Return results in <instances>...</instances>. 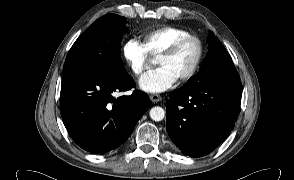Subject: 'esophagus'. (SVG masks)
Wrapping results in <instances>:
<instances>
[{"instance_id":"esophagus-1","label":"esophagus","mask_w":294,"mask_h":180,"mask_svg":"<svg viewBox=\"0 0 294 180\" xmlns=\"http://www.w3.org/2000/svg\"><path fill=\"white\" fill-rule=\"evenodd\" d=\"M150 99L152 102L157 103L162 100V97L158 94H151Z\"/></svg>"}]
</instances>
